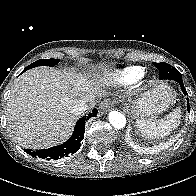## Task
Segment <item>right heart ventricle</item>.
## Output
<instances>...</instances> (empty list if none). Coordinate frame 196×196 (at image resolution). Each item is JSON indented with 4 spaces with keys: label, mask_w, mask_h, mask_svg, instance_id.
<instances>
[{
    "label": "right heart ventricle",
    "mask_w": 196,
    "mask_h": 196,
    "mask_svg": "<svg viewBox=\"0 0 196 196\" xmlns=\"http://www.w3.org/2000/svg\"><path fill=\"white\" fill-rule=\"evenodd\" d=\"M145 70L139 66H129L121 69L105 71L102 80L113 85H129L143 78Z\"/></svg>",
    "instance_id": "e07e8e85"
}]
</instances>
